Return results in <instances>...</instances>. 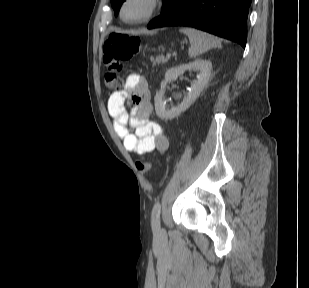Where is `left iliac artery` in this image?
<instances>
[{
	"instance_id": "obj_1",
	"label": "left iliac artery",
	"mask_w": 309,
	"mask_h": 288,
	"mask_svg": "<svg viewBox=\"0 0 309 288\" xmlns=\"http://www.w3.org/2000/svg\"><path fill=\"white\" fill-rule=\"evenodd\" d=\"M160 212H161V205L160 202H156L152 209V227L154 230H159L160 227Z\"/></svg>"
}]
</instances>
